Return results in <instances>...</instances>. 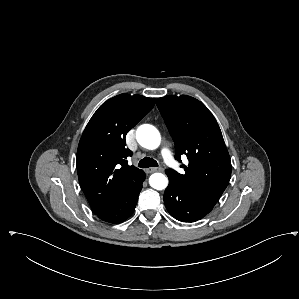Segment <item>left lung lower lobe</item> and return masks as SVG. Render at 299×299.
Returning <instances> with one entry per match:
<instances>
[{
	"label": "left lung lower lobe",
	"instance_id": "1",
	"mask_svg": "<svg viewBox=\"0 0 299 299\" xmlns=\"http://www.w3.org/2000/svg\"><path fill=\"white\" fill-rule=\"evenodd\" d=\"M168 212L182 222H196L206 216L214 207L201 197L169 179L164 193Z\"/></svg>",
	"mask_w": 299,
	"mask_h": 299
}]
</instances>
